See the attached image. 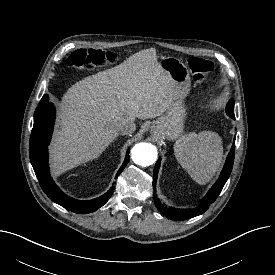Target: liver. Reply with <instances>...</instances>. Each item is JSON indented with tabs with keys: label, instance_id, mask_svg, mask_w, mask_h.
<instances>
[{
	"label": "liver",
	"instance_id": "liver-1",
	"mask_svg": "<svg viewBox=\"0 0 275 275\" xmlns=\"http://www.w3.org/2000/svg\"><path fill=\"white\" fill-rule=\"evenodd\" d=\"M174 99L172 80L157 61L155 48L82 79L62 97L50 146L52 168L97 158L119 135L118 122L158 117Z\"/></svg>",
	"mask_w": 275,
	"mask_h": 275
}]
</instances>
